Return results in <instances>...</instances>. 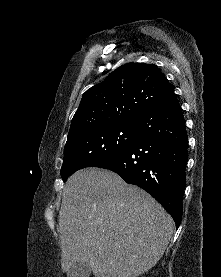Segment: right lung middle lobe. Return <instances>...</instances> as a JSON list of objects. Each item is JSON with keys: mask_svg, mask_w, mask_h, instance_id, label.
<instances>
[{"mask_svg": "<svg viewBox=\"0 0 221 277\" xmlns=\"http://www.w3.org/2000/svg\"><path fill=\"white\" fill-rule=\"evenodd\" d=\"M136 133L135 122L93 127L67 139L61 177L65 182L77 170L97 167L123 154Z\"/></svg>", "mask_w": 221, "mask_h": 277, "instance_id": "right-lung-middle-lobe-1", "label": "right lung middle lobe"}]
</instances>
